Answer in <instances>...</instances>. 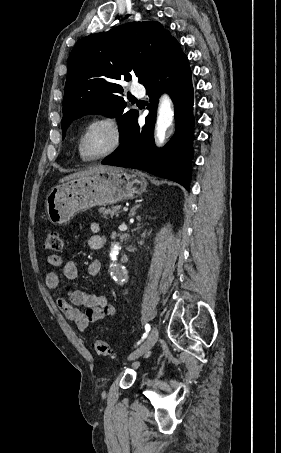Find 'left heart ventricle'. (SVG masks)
<instances>
[{
	"instance_id": "1",
	"label": "left heart ventricle",
	"mask_w": 281,
	"mask_h": 453,
	"mask_svg": "<svg viewBox=\"0 0 281 453\" xmlns=\"http://www.w3.org/2000/svg\"><path fill=\"white\" fill-rule=\"evenodd\" d=\"M109 140L108 133L103 129H96L86 139L88 152L95 151Z\"/></svg>"
}]
</instances>
